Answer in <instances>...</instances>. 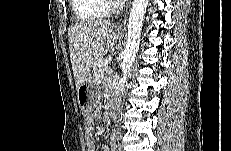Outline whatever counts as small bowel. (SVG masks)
Wrapping results in <instances>:
<instances>
[{
	"mask_svg": "<svg viewBox=\"0 0 231 151\" xmlns=\"http://www.w3.org/2000/svg\"><path fill=\"white\" fill-rule=\"evenodd\" d=\"M100 116H101L100 111H96L85 120V137H86L87 151H95V145L92 140L93 124L95 120H97Z\"/></svg>",
	"mask_w": 231,
	"mask_h": 151,
	"instance_id": "obj_1",
	"label": "small bowel"
}]
</instances>
